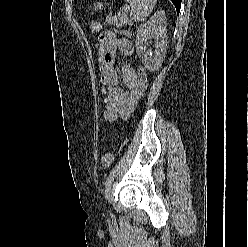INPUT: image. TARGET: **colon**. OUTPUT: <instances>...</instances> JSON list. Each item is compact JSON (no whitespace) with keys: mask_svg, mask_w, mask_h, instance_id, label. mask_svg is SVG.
<instances>
[{"mask_svg":"<svg viewBox=\"0 0 248 247\" xmlns=\"http://www.w3.org/2000/svg\"><path fill=\"white\" fill-rule=\"evenodd\" d=\"M91 30L94 33L101 31V23L99 21H93L91 23ZM147 87V71L143 66H140L136 74L135 92L138 95H142Z\"/></svg>","mask_w":248,"mask_h":247,"instance_id":"1","label":"colon"}]
</instances>
